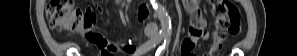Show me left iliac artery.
<instances>
[{
  "mask_svg": "<svg viewBox=\"0 0 297 56\" xmlns=\"http://www.w3.org/2000/svg\"><path fill=\"white\" fill-rule=\"evenodd\" d=\"M169 39L170 37H166V39L164 40V44L162 46H160L156 52V56H160L162 55L164 49L166 48L167 44L169 43Z\"/></svg>",
  "mask_w": 297,
  "mask_h": 56,
  "instance_id": "44dca946",
  "label": "left iliac artery"
}]
</instances>
